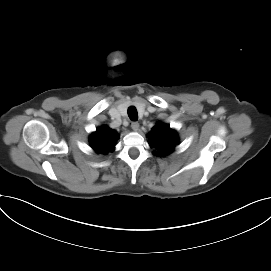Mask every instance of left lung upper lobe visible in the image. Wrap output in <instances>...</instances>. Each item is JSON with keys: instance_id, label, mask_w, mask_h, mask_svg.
<instances>
[{"instance_id": "left-lung-upper-lobe-1", "label": "left lung upper lobe", "mask_w": 271, "mask_h": 271, "mask_svg": "<svg viewBox=\"0 0 271 271\" xmlns=\"http://www.w3.org/2000/svg\"><path fill=\"white\" fill-rule=\"evenodd\" d=\"M149 144L155 148V155L165 156L171 153L175 145L179 144V139L175 130L167 124H157L149 134Z\"/></svg>"}]
</instances>
